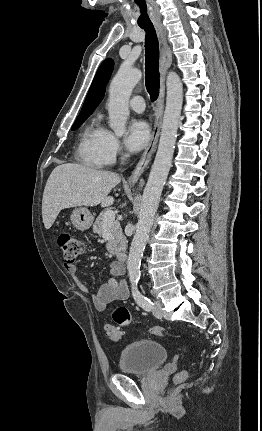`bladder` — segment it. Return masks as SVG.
<instances>
[{
    "label": "bladder",
    "mask_w": 262,
    "mask_h": 431,
    "mask_svg": "<svg viewBox=\"0 0 262 431\" xmlns=\"http://www.w3.org/2000/svg\"><path fill=\"white\" fill-rule=\"evenodd\" d=\"M168 351L159 342L141 338L129 343L120 353L121 372L145 375L153 372L168 359Z\"/></svg>",
    "instance_id": "bladder-1"
}]
</instances>
